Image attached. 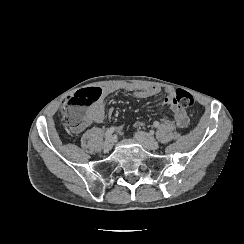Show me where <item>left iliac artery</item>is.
I'll return each mask as SVG.
<instances>
[{"instance_id":"left-iliac-artery-1","label":"left iliac artery","mask_w":244,"mask_h":244,"mask_svg":"<svg viewBox=\"0 0 244 244\" xmlns=\"http://www.w3.org/2000/svg\"><path fill=\"white\" fill-rule=\"evenodd\" d=\"M153 126H154L155 128H158V127H159V122H158V121H155V122L153 123Z\"/></svg>"}]
</instances>
